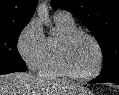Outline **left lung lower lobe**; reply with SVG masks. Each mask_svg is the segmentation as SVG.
<instances>
[{
	"label": "left lung lower lobe",
	"mask_w": 119,
	"mask_h": 95,
	"mask_svg": "<svg viewBox=\"0 0 119 95\" xmlns=\"http://www.w3.org/2000/svg\"><path fill=\"white\" fill-rule=\"evenodd\" d=\"M102 82H112L119 85V79L107 80V79H102L99 76L95 80L92 81V83H102Z\"/></svg>",
	"instance_id": "left-lung-lower-lobe-1"
}]
</instances>
